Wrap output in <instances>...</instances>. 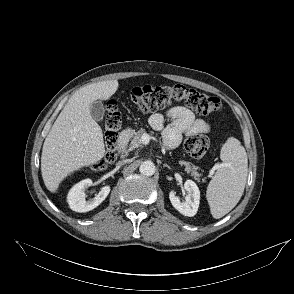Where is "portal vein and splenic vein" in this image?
Instances as JSON below:
<instances>
[{
	"label": "portal vein and splenic vein",
	"mask_w": 294,
	"mask_h": 294,
	"mask_svg": "<svg viewBox=\"0 0 294 294\" xmlns=\"http://www.w3.org/2000/svg\"><path fill=\"white\" fill-rule=\"evenodd\" d=\"M141 139L144 144H148L150 141V136L148 134H144Z\"/></svg>",
	"instance_id": "portal-vein-and-splenic-vein-1"
}]
</instances>
